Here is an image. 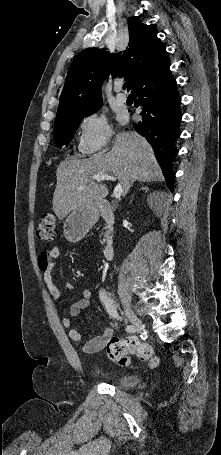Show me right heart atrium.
<instances>
[{
	"label": "right heart atrium",
	"instance_id": "obj_1",
	"mask_svg": "<svg viewBox=\"0 0 221 455\" xmlns=\"http://www.w3.org/2000/svg\"><path fill=\"white\" fill-rule=\"evenodd\" d=\"M113 135L103 113H90L79 122L78 149L84 154L104 151Z\"/></svg>",
	"mask_w": 221,
	"mask_h": 455
}]
</instances>
